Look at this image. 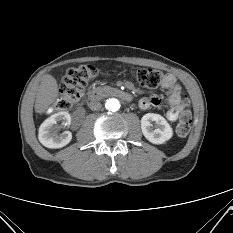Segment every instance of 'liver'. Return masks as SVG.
<instances>
[{
  "label": "liver",
  "instance_id": "obj_1",
  "mask_svg": "<svg viewBox=\"0 0 233 233\" xmlns=\"http://www.w3.org/2000/svg\"><path fill=\"white\" fill-rule=\"evenodd\" d=\"M59 89L56 79L49 74L41 78L38 92L35 100V112L43 113L57 99Z\"/></svg>",
  "mask_w": 233,
  "mask_h": 233
}]
</instances>
